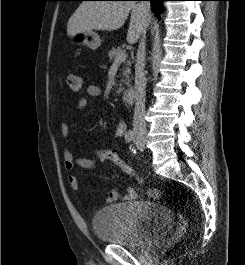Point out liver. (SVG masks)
<instances>
[{
	"label": "liver",
	"mask_w": 245,
	"mask_h": 265,
	"mask_svg": "<svg viewBox=\"0 0 245 265\" xmlns=\"http://www.w3.org/2000/svg\"><path fill=\"white\" fill-rule=\"evenodd\" d=\"M130 11L127 41L134 44L145 32L150 16L143 18L138 3L132 1H84L68 20L67 35L71 37L92 30H118L124 25Z\"/></svg>",
	"instance_id": "6515ba94"
}]
</instances>
